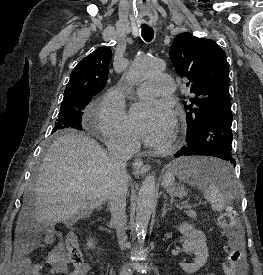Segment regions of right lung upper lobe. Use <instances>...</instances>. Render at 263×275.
<instances>
[{
	"label": "right lung upper lobe",
	"mask_w": 263,
	"mask_h": 275,
	"mask_svg": "<svg viewBox=\"0 0 263 275\" xmlns=\"http://www.w3.org/2000/svg\"><path fill=\"white\" fill-rule=\"evenodd\" d=\"M112 51L107 46L97 48L73 69L64 91V98L76 95H95L106 85ZM63 98V99H64Z\"/></svg>",
	"instance_id": "right-lung-upper-lobe-1"
}]
</instances>
